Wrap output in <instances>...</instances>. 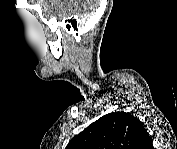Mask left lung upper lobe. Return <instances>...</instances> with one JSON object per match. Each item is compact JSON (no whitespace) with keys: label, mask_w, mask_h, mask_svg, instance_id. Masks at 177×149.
<instances>
[{"label":"left lung upper lobe","mask_w":177,"mask_h":149,"mask_svg":"<svg viewBox=\"0 0 177 149\" xmlns=\"http://www.w3.org/2000/svg\"><path fill=\"white\" fill-rule=\"evenodd\" d=\"M146 135L138 118L123 111L112 112L72 138L66 149H146Z\"/></svg>","instance_id":"obj_1"}]
</instances>
